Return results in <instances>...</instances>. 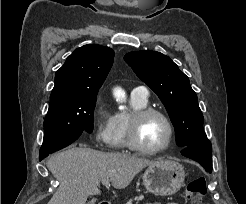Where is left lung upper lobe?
<instances>
[{
    "label": "left lung upper lobe",
    "mask_w": 246,
    "mask_h": 204,
    "mask_svg": "<svg viewBox=\"0 0 246 204\" xmlns=\"http://www.w3.org/2000/svg\"><path fill=\"white\" fill-rule=\"evenodd\" d=\"M124 59L165 105L175 127L178 146L187 147L208 140L197 95L188 77L168 56L155 51H133Z\"/></svg>",
    "instance_id": "obj_1"
}]
</instances>
